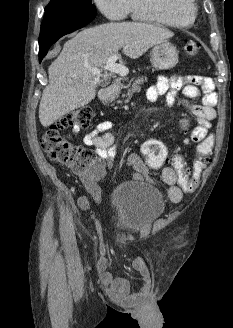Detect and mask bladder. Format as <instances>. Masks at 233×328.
<instances>
[{
  "mask_svg": "<svg viewBox=\"0 0 233 328\" xmlns=\"http://www.w3.org/2000/svg\"><path fill=\"white\" fill-rule=\"evenodd\" d=\"M110 204L116 222L127 231H137L155 222L165 210L161 192L145 182H123L113 188Z\"/></svg>",
  "mask_w": 233,
  "mask_h": 328,
  "instance_id": "31cf9c89",
  "label": "bladder"
}]
</instances>
